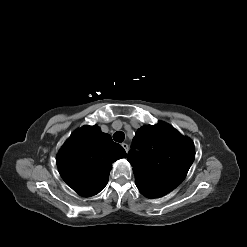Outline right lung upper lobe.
<instances>
[{"label": "right lung upper lobe", "mask_w": 247, "mask_h": 247, "mask_svg": "<svg viewBox=\"0 0 247 247\" xmlns=\"http://www.w3.org/2000/svg\"><path fill=\"white\" fill-rule=\"evenodd\" d=\"M126 157L123 147L97 126H83L64 143L57 155L63 180L81 196L99 193L107 184L111 165Z\"/></svg>", "instance_id": "1"}]
</instances>
